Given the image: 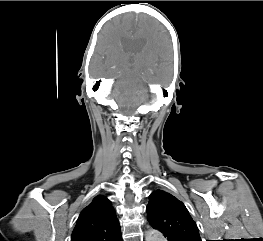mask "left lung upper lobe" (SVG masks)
<instances>
[{
    "label": "left lung upper lobe",
    "mask_w": 263,
    "mask_h": 241,
    "mask_svg": "<svg viewBox=\"0 0 263 241\" xmlns=\"http://www.w3.org/2000/svg\"><path fill=\"white\" fill-rule=\"evenodd\" d=\"M147 220L153 228L175 237L178 241H201L197 225L185 205L163 190L150 194Z\"/></svg>",
    "instance_id": "1"
}]
</instances>
